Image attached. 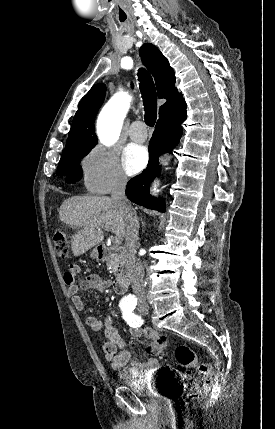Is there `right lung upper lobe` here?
<instances>
[{"label": "right lung upper lobe", "mask_w": 275, "mask_h": 429, "mask_svg": "<svg viewBox=\"0 0 275 429\" xmlns=\"http://www.w3.org/2000/svg\"><path fill=\"white\" fill-rule=\"evenodd\" d=\"M140 55L155 78L158 97L167 99L159 109L158 120L167 118L176 113L183 105H186L182 94L175 88L174 71L160 50L150 43L141 47ZM105 91L106 86L104 84H97L82 98L74 116L62 156L89 153L97 144L94 120L104 101Z\"/></svg>", "instance_id": "obj_1"}]
</instances>
